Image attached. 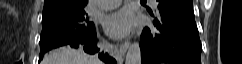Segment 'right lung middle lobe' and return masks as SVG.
<instances>
[{
  "label": "right lung middle lobe",
  "mask_w": 242,
  "mask_h": 64,
  "mask_svg": "<svg viewBox=\"0 0 242 64\" xmlns=\"http://www.w3.org/2000/svg\"><path fill=\"white\" fill-rule=\"evenodd\" d=\"M94 33L95 26L89 21L84 7L43 13L40 55Z\"/></svg>",
  "instance_id": "obj_1"
}]
</instances>
